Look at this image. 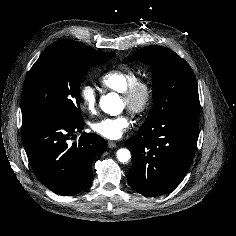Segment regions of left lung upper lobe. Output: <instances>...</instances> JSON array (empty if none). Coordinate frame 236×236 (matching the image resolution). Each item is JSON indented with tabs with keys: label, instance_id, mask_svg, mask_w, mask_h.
<instances>
[{
	"label": "left lung upper lobe",
	"instance_id": "obj_1",
	"mask_svg": "<svg viewBox=\"0 0 236 236\" xmlns=\"http://www.w3.org/2000/svg\"><path fill=\"white\" fill-rule=\"evenodd\" d=\"M135 60L150 65L153 76L154 106L142 126L172 114H199L197 81L184 59L168 48L151 46L135 51L124 63Z\"/></svg>",
	"mask_w": 236,
	"mask_h": 236
}]
</instances>
